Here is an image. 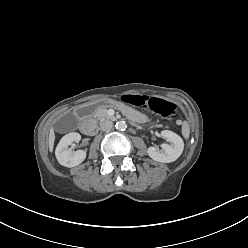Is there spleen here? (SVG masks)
<instances>
[{
  "label": "spleen",
  "mask_w": 248,
  "mask_h": 248,
  "mask_svg": "<svg viewBox=\"0 0 248 248\" xmlns=\"http://www.w3.org/2000/svg\"><path fill=\"white\" fill-rule=\"evenodd\" d=\"M182 135L185 139H188L190 135V128L186 121L183 122V125H182Z\"/></svg>",
  "instance_id": "obj_1"
}]
</instances>
